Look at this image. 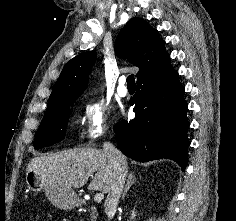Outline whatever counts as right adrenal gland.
<instances>
[{
	"label": "right adrenal gland",
	"mask_w": 236,
	"mask_h": 221,
	"mask_svg": "<svg viewBox=\"0 0 236 221\" xmlns=\"http://www.w3.org/2000/svg\"><path fill=\"white\" fill-rule=\"evenodd\" d=\"M137 181V179L135 178V175L133 172H131L128 176V179H127V183L125 185V188H124V192L122 194V200H124L125 196H126V193L128 192V190L130 189V187L135 184V182Z\"/></svg>",
	"instance_id": "2a0ac1e0"
}]
</instances>
